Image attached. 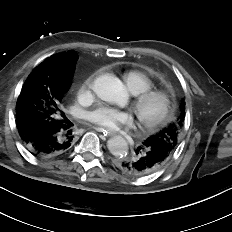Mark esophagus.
Here are the masks:
<instances>
[{"instance_id":"esophagus-1","label":"esophagus","mask_w":232,"mask_h":232,"mask_svg":"<svg viewBox=\"0 0 232 232\" xmlns=\"http://www.w3.org/2000/svg\"><path fill=\"white\" fill-rule=\"evenodd\" d=\"M94 129H95L97 132L103 133L104 136H106V137L111 136V135L114 134L113 132H110L109 130H106V129L101 128V127H94Z\"/></svg>"}]
</instances>
